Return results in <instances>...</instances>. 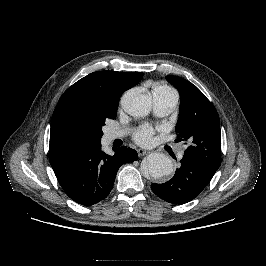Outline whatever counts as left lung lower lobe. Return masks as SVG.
Masks as SVG:
<instances>
[{
    "label": "left lung lower lobe",
    "mask_w": 266,
    "mask_h": 266,
    "mask_svg": "<svg viewBox=\"0 0 266 266\" xmlns=\"http://www.w3.org/2000/svg\"><path fill=\"white\" fill-rule=\"evenodd\" d=\"M215 170L183 157L175 175L163 184H151L153 192L172 204H184L193 200L211 181Z\"/></svg>",
    "instance_id": "0a47b994"
}]
</instances>
